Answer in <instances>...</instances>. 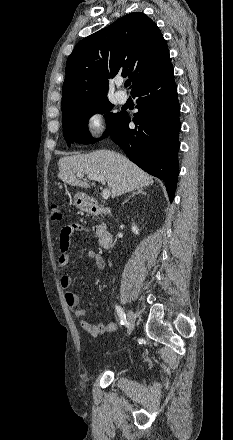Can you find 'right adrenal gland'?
Wrapping results in <instances>:
<instances>
[{
  "label": "right adrenal gland",
  "mask_w": 233,
  "mask_h": 440,
  "mask_svg": "<svg viewBox=\"0 0 233 440\" xmlns=\"http://www.w3.org/2000/svg\"><path fill=\"white\" fill-rule=\"evenodd\" d=\"M138 194H145L146 195V192H144V190L141 188L137 189V191L133 192L132 195H130L122 204L124 205L125 203H127L130 200L131 197H134L135 195H138Z\"/></svg>",
  "instance_id": "obj_1"
}]
</instances>
